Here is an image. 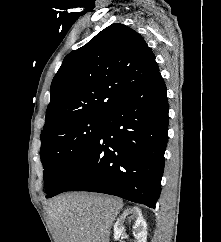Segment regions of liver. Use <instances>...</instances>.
Masks as SVG:
<instances>
[{
  "mask_svg": "<svg viewBox=\"0 0 221 242\" xmlns=\"http://www.w3.org/2000/svg\"><path fill=\"white\" fill-rule=\"evenodd\" d=\"M123 201L119 198L69 193L53 198L48 214L55 242H109L110 228Z\"/></svg>",
  "mask_w": 221,
  "mask_h": 242,
  "instance_id": "obj_1",
  "label": "liver"
}]
</instances>
